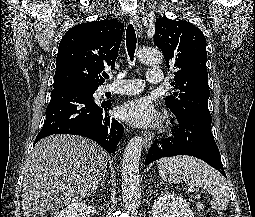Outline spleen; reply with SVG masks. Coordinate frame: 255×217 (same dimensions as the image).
I'll return each instance as SVG.
<instances>
[{"instance_id": "spleen-1", "label": "spleen", "mask_w": 255, "mask_h": 217, "mask_svg": "<svg viewBox=\"0 0 255 217\" xmlns=\"http://www.w3.org/2000/svg\"><path fill=\"white\" fill-rule=\"evenodd\" d=\"M160 176L170 183L187 178L191 185L203 187L212 195L210 205L215 210L227 208L230 192L224 178L205 162L191 156H175L159 161Z\"/></svg>"}]
</instances>
